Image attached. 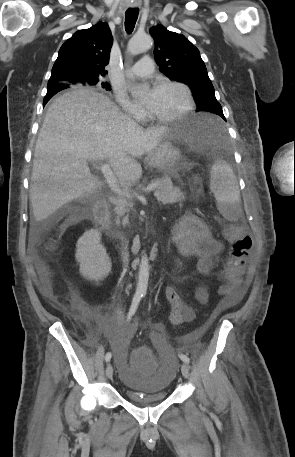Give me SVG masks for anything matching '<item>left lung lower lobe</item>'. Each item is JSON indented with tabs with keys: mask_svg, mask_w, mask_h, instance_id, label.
Masks as SVG:
<instances>
[{
	"mask_svg": "<svg viewBox=\"0 0 295 457\" xmlns=\"http://www.w3.org/2000/svg\"><path fill=\"white\" fill-rule=\"evenodd\" d=\"M208 112H212V113H214V114H217V115H219L220 117H222V118L225 120V117H224V115L221 113V111H220V110H217V109H211V110H210V111H208ZM206 127H207V130H208L210 133H213V130H214V129H213V127H212V126H210V125H208V124H207V126H206Z\"/></svg>",
	"mask_w": 295,
	"mask_h": 457,
	"instance_id": "obj_1",
	"label": "left lung lower lobe"
}]
</instances>
